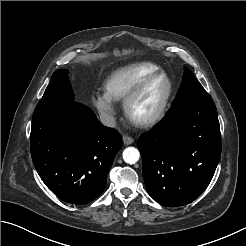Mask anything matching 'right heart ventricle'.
I'll return each mask as SVG.
<instances>
[{
    "instance_id": "e07e8e85",
    "label": "right heart ventricle",
    "mask_w": 246,
    "mask_h": 246,
    "mask_svg": "<svg viewBox=\"0 0 246 246\" xmlns=\"http://www.w3.org/2000/svg\"><path fill=\"white\" fill-rule=\"evenodd\" d=\"M161 71L151 62L133 63L113 71L105 82V91L112 100H124L129 92L146 76Z\"/></svg>"
}]
</instances>
